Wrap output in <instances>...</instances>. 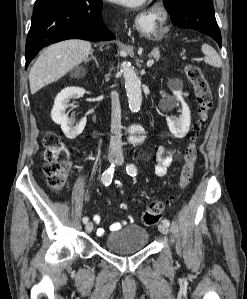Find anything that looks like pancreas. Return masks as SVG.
I'll use <instances>...</instances> for the list:
<instances>
[{"mask_svg":"<svg viewBox=\"0 0 247 299\" xmlns=\"http://www.w3.org/2000/svg\"><path fill=\"white\" fill-rule=\"evenodd\" d=\"M149 57H154V58L158 59L159 58V50H153L150 53Z\"/></svg>","mask_w":247,"mask_h":299,"instance_id":"obj_1","label":"pancreas"}]
</instances>
